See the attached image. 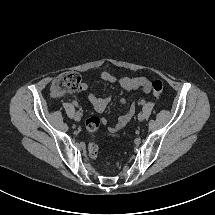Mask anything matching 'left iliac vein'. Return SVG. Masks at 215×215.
<instances>
[{
  "mask_svg": "<svg viewBox=\"0 0 215 215\" xmlns=\"http://www.w3.org/2000/svg\"><path fill=\"white\" fill-rule=\"evenodd\" d=\"M137 118H138L139 121H143L144 118H145V116H144L143 113H139L138 116H137Z\"/></svg>",
  "mask_w": 215,
  "mask_h": 215,
  "instance_id": "obj_1",
  "label": "left iliac vein"
}]
</instances>
